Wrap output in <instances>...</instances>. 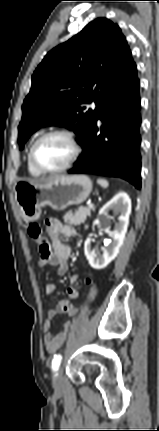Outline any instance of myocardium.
<instances>
[{
    "label": "myocardium",
    "mask_w": 159,
    "mask_h": 431,
    "mask_svg": "<svg viewBox=\"0 0 159 431\" xmlns=\"http://www.w3.org/2000/svg\"><path fill=\"white\" fill-rule=\"evenodd\" d=\"M51 136H64V137H66L69 140V142L72 146V149H73L72 156L68 160V162L65 165H63L62 167L57 168V169H45V168L41 167L35 159V150H36L37 145L41 141H43L44 139L51 137ZM81 151H82L81 145H80V142H79L76 134L69 129L58 128V129H52V130H49V131L43 133L32 143L30 150H29V159H30V162L33 165V167L38 172H40L41 174H57V173H62L64 171L68 170L69 168H71L75 164V162L78 160V158L81 154Z\"/></svg>",
    "instance_id": "myocardium-1"
}]
</instances>
